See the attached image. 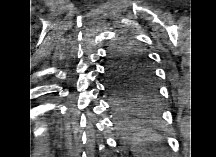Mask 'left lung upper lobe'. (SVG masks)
Masks as SVG:
<instances>
[{
  "label": "left lung upper lobe",
  "mask_w": 216,
  "mask_h": 157,
  "mask_svg": "<svg viewBox=\"0 0 216 157\" xmlns=\"http://www.w3.org/2000/svg\"><path fill=\"white\" fill-rule=\"evenodd\" d=\"M107 65L114 83L133 88L134 105L156 95L155 74L148 57L130 40H120L111 47Z\"/></svg>",
  "instance_id": "5c2ea615"
}]
</instances>
